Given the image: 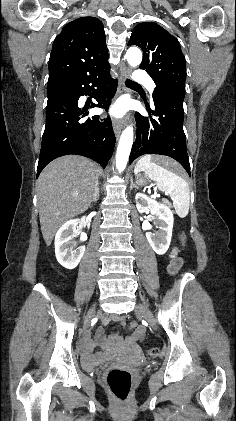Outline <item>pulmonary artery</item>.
Instances as JSON below:
<instances>
[{"label": "pulmonary artery", "mask_w": 236, "mask_h": 421, "mask_svg": "<svg viewBox=\"0 0 236 421\" xmlns=\"http://www.w3.org/2000/svg\"><path fill=\"white\" fill-rule=\"evenodd\" d=\"M148 72L146 69H138L134 71L135 80L138 85L142 86H151L153 84V79L147 77ZM150 95H152L153 87L149 89Z\"/></svg>", "instance_id": "pulmonary-artery-1"}]
</instances>
